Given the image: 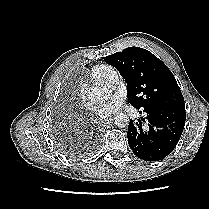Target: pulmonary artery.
<instances>
[{
  "label": "pulmonary artery",
  "instance_id": "1",
  "mask_svg": "<svg viewBox=\"0 0 209 209\" xmlns=\"http://www.w3.org/2000/svg\"><path fill=\"white\" fill-rule=\"evenodd\" d=\"M118 81V74L115 70H112L107 78V83L108 84H115Z\"/></svg>",
  "mask_w": 209,
  "mask_h": 209
}]
</instances>
